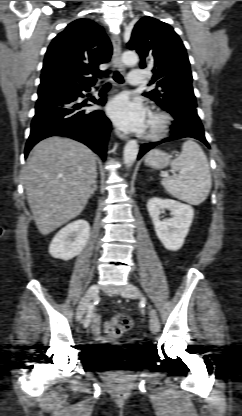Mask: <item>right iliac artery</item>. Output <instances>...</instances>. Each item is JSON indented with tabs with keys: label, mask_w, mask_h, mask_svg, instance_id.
Instances as JSON below:
<instances>
[{
	"label": "right iliac artery",
	"mask_w": 242,
	"mask_h": 416,
	"mask_svg": "<svg viewBox=\"0 0 242 416\" xmlns=\"http://www.w3.org/2000/svg\"><path fill=\"white\" fill-rule=\"evenodd\" d=\"M92 312H93V306L90 305L89 308H88L87 316H86V318L83 321L84 327H88L89 326V324H90V316H91Z\"/></svg>",
	"instance_id": "right-iliac-artery-1"
}]
</instances>
